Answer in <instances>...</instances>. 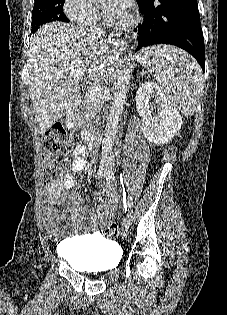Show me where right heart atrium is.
Wrapping results in <instances>:
<instances>
[{
    "mask_svg": "<svg viewBox=\"0 0 227 315\" xmlns=\"http://www.w3.org/2000/svg\"><path fill=\"white\" fill-rule=\"evenodd\" d=\"M63 11L71 21L84 27L93 26L100 19L91 0H64Z\"/></svg>",
    "mask_w": 227,
    "mask_h": 315,
    "instance_id": "d8ad5b80",
    "label": "right heart atrium"
}]
</instances>
